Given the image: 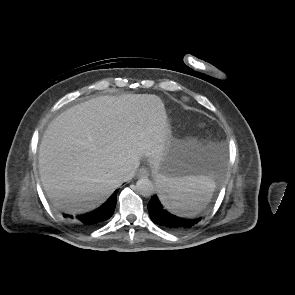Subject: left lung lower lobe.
Returning a JSON list of instances; mask_svg holds the SVG:
<instances>
[{"mask_svg":"<svg viewBox=\"0 0 295 295\" xmlns=\"http://www.w3.org/2000/svg\"><path fill=\"white\" fill-rule=\"evenodd\" d=\"M209 158L211 162L214 161L213 153L210 154ZM148 211L152 221L155 224L169 231L187 230L201 220V218L186 219L174 215L172 212H169L164 208L163 204L161 203L157 195L152 196L148 204Z\"/></svg>","mask_w":295,"mask_h":295,"instance_id":"0a47b994","label":"left lung lower lobe"}]
</instances>
